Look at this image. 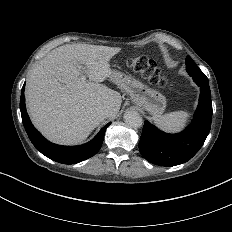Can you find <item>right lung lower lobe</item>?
<instances>
[{
  "label": "right lung lower lobe",
  "instance_id": "98d812e1",
  "mask_svg": "<svg viewBox=\"0 0 232 232\" xmlns=\"http://www.w3.org/2000/svg\"><path fill=\"white\" fill-rule=\"evenodd\" d=\"M25 84L21 90L20 110L24 128L33 145L46 157L63 164H75L94 156L102 146L105 131L111 124H106L99 133L88 143L80 146H61L46 140L32 125L26 112Z\"/></svg>",
  "mask_w": 232,
  "mask_h": 232
}]
</instances>
